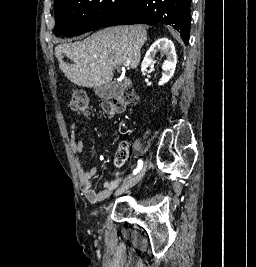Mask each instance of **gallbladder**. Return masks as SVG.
I'll return each mask as SVG.
<instances>
[{
  "label": "gallbladder",
  "mask_w": 256,
  "mask_h": 267,
  "mask_svg": "<svg viewBox=\"0 0 256 267\" xmlns=\"http://www.w3.org/2000/svg\"><path fill=\"white\" fill-rule=\"evenodd\" d=\"M122 82H116V84H103V86H94V92L99 98L103 100H112L121 90Z\"/></svg>",
  "instance_id": "obj_1"
}]
</instances>
